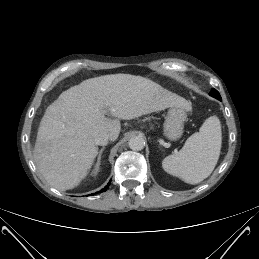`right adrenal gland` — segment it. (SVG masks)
Instances as JSON below:
<instances>
[{"label":"right adrenal gland","mask_w":259,"mask_h":259,"mask_svg":"<svg viewBox=\"0 0 259 259\" xmlns=\"http://www.w3.org/2000/svg\"><path fill=\"white\" fill-rule=\"evenodd\" d=\"M104 149H105V147L101 148V150L99 151V155H98L97 163L95 165L94 173H96L99 169V166L101 163V157H102V153H103Z\"/></svg>","instance_id":"2a0ac1e0"}]
</instances>
